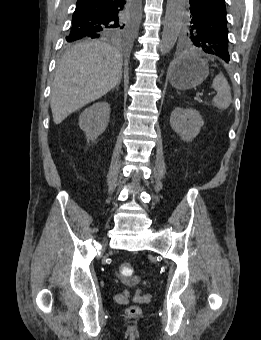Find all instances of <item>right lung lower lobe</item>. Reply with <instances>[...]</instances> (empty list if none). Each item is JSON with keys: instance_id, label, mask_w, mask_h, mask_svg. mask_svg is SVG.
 Returning <instances> with one entry per match:
<instances>
[{"instance_id": "1", "label": "right lung lower lobe", "mask_w": 261, "mask_h": 340, "mask_svg": "<svg viewBox=\"0 0 261 340\" xmlns=\"http://www.w3.org/2000/svg\"><path fill=\"white\" fill-rule=\"evenodd\" d=\"M133 0H77L71 32L94 37L111 22L120 18Z\"/></svg>"}]
</instances>
